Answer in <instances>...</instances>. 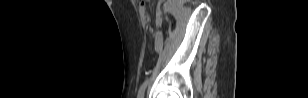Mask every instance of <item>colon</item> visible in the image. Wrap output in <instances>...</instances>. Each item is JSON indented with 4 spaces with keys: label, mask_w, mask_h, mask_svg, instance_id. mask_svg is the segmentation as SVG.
I'll use <instances>...</instances> for the list:
<instances>
[{
    "label": "colon",
    "mask_w": 308,
    "mask_h": 98,
    "mask_svg": "<svg viewBox=\"0 0 308 98\" xmlns=\"http://www.w3.org/2000/svg\"><path fill=\"white\" fill-rule=\"evenodd\" d=\"M138 11H139V15H140L142 23L146 27H149L150 17L148 15L147 11H146L144 2L140 1L138 3Z\"/></svg>",
    "instance_id": "5ec220e1"
}]
</instances>
